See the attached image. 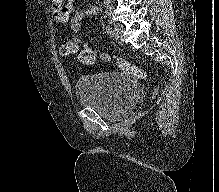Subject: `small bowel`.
Segmentation results:
<instances>
[{
  "instance_id": "obj_1",
  "label": "small bowel",
  "mask_w": 219,
  "mask_h": 192,
  "mask_svg": "<svg viewBox=\"0 0 219 192\" xmlns=\"http://www.w3.org/2000/svg\"><path fill=\"white\" fill-rule=\"evenodd\" d=\"M75 0H51V10L55 20L59 23H66L69 20L71 30L77 34L82 26L85 18L96 20L99 10L97 7H92L86 13L74 8ZM78 41V36L74 39ZM101 58L104 60L105 55Z\"/></svg>"
}]
</instances>
